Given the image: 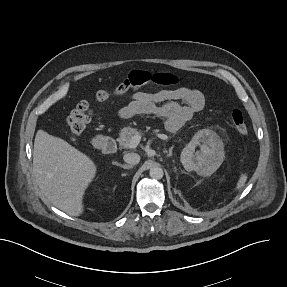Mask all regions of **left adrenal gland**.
Here are the masks:
<instances>
[{
  "mask_svg": "<svg viewBox=\"0 0 287 287\" xmlns=\"http://www.w3.org/2000/svg\"><path fill=\"white\" fill-rule=\"evenodd\" d=\"M173 146L169 149V152H167V156L171 157L172 156V150H173Z\"/></svg>",
  "mask_w": 287,
  "mask_h": 287,
  "instance_id": "obj_1",
  "label": "left adrenal gland"
}]
</instances>
